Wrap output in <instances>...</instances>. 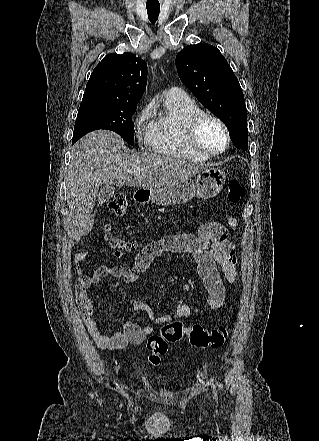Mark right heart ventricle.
<instances>
[{"mask_svg":"<svg viewBox=\"0 0 319 441\" xmlns=\"http://www.w3.org/2000/svg\"><path fill=\"white\" fill-rule=\"evenodd\" d=\"M168 111L154 121L150 150L158 155L174 157L192 162H202L209 157L193 151L186 141L189 120L201 112L198 104L189 97L175 99L167 97Z\"/></svg>","mask_w":319,"mask_h":441,"instance_id":"e07e8e85","label":"right heart ventricle"}]
</instances>
